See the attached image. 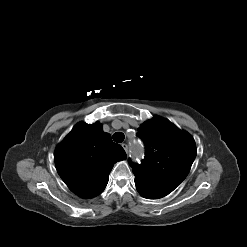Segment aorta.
I'll return each mask as SVG.
<instances>
[{
    "mask_svg": "<svg viewBox=\"0 0 247 247\" xmlns=\"http://www.w3.org/2000/svg\"><path fill=\"white\" fill-rule=\"evenodd\" d=\"M130 152L133 157H138L143 152V145L137 139L131 140Z\"/></svg>",
    "mask_w": 247,
    "mask_h": 247,
    "instance_id": "1",
    "label": "aorta"
}]
</instances>
